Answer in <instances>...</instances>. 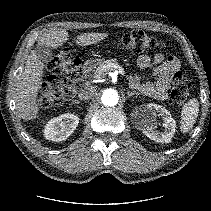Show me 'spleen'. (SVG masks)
Instances as JSON below:
<instances>
[{"instance_id": "1", "label": "spleen", "mask_w": 211, "mask_h": 211, "mask_svg": "<svg viewBox=\"0 0 211 211\" xmlns=\"http://www.w3.org/2000/svg\"><path fill=\"white\" fill-rule=\"evenodd\" d=\"M199 112V102L196 98L190 99L182 107L181 111V126L183 133L189 132L196 121Z\"/></svg>"}]
</instances>
